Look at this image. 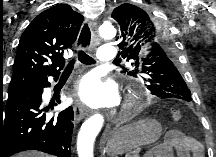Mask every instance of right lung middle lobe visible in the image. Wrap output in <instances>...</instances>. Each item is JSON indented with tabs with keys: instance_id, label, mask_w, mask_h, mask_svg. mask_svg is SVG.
Masks as SVG:
<instances>
[{
	"instance_id": "dd1d6c3e",
	"label": "right lung middle lobe",
	"mask_w": 216,
	"mask_h": 157,
	"mask_svg": "<svg viewBox=\"0 0 216 157\" xmlns=\"http://www.w3.org/2000/svg\"><path fill=\"white\" fill-rule=\"evenodd\" d=\"M17 92H18V91H16V92H9V93H8V98L13 97Z\"/></svg>"
}]
</instances>
